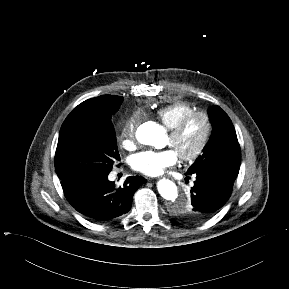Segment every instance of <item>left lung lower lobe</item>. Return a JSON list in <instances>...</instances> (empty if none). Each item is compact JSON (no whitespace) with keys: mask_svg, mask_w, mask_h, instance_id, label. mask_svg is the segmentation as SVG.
I'll list each match as a JSON object with an SVG mask.
<instances>
[{"mask_svg":"<svg viewBox=\"0 0 289 289\" xmlns=\"http://www.w3.org/2000/svg\"><path fill=\"white\" fill-rule=\"evenodd\" d=\"M188 175H191L187 173ZM196 176L188 202L191 222H200L212 217L229 199L237 177L226 171L211 169L193 173ZM184 207L185 204H180Z\"/></svg>","mask_w":289,"mask_h":289,"instance_id":"obj_1","label":"left lung lower lobe"}]
</instances>
